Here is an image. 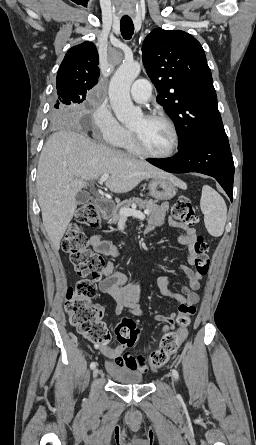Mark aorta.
Segmentation results:
<instances>
[{
	"instance_id": "762f6f07",
	"label": "aorta",
	"mask_w": 256,
	"mask_h": 445,
	"mask_svg": "<svg viewBox=\"0 0 256 445\" xmlns=\"http://www.w3.org/2000/svg\"><path fill=\"white\" fill-rule=\"evenodd\" d=\"M141 71L137 62H123L115 72L109 85V99L117 119L124 124L136 121L142 116L130 97V87Z\"/></svg>"
}]
</instances>
